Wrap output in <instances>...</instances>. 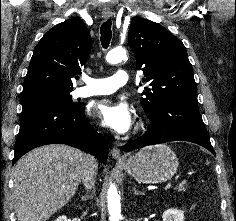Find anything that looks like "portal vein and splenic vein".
<instances>
[{
  "label": "portal vein and splenic vein",
  "instance_id": "portal-vein-and-splenic-vein-1",
  "mask_svg": "<svg viewBox=\"0 0 236 221\" xmlns=\"http://www.w3.org/2000/svg\"><path fill=\"white\" fill-rule=\"evenodd\" d=\"M185 182H182L179 186L183 187ZM172 187V184L169 182L165 185L164 190H169Z\"/></svg>",
  "mask_w": 236,
  "mask_h": 221
}]
</instances>
